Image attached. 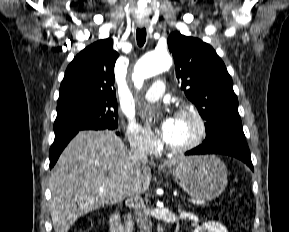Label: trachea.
I'll list each match as a JSON object with an SVG mask.
<instances>
[{
  "label": "trachea",
  "mask_w": 289,
  "mask_h": 232,
  "mask_svg": "<svg viewBox=\"0 0 289 232\" xmlns=\"http://www.w3.org/2000/svg\"><path fill=\"white\" fill-rule=\"evenodd\" d=\"M136 39L138 46L142 47L146 41V29L145 28H138L136 30Z\"/></svg>",
  "instance_id": "1"
}]
</instances>
